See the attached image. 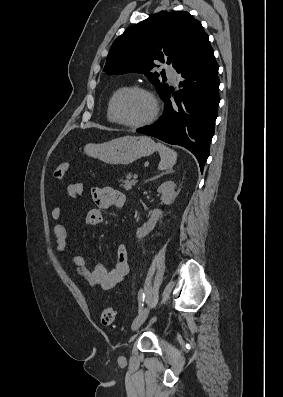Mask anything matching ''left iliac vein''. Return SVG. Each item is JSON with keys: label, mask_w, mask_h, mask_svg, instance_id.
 <instances>
[{"label": "left iliac vein", "mask_w": 283, "mask_h": 397, "mask_svg": "<svg viewBox=\"0 0 283 397\" xmlns=\"http://www.w3.org/2000/svg\"><path fill=\"white\" fill-rule=\"evenodd\" d=\"M148 314H149V307H146L142 311L139 312V314L134 319L132 326H131L133 331L137 330L143 324V322L146 320Z\"/></svg>", "instance_id": "obj_1"}]
</instances>
